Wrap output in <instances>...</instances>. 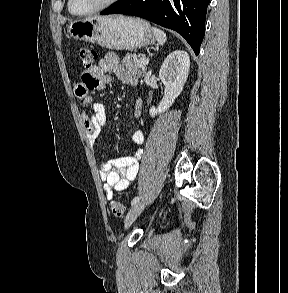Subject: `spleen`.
Instances as JSON below:
<instances>
[{"label":"spleen","mask_w":288,"mask_h":293,"mask_svg":"<svg viewBox=\"0 0 288 293\" xmlns=\"http://www.w3.org/2000/svg\"><path fill=\"white\" fill-rule=\"evenodd\" d=\"M152 30H153V33L155 35L157 42L160 45H164L167 40L166 34L162 30H160L156 27H153Z\"/></svg>","instance_id":"3e777b00"}]
</instances>
